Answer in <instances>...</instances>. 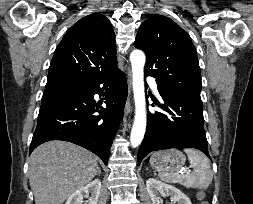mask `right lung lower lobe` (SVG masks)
Wrapping results in <instances>:
<instances>
[{"mask_svg": "<svg viewBox=\"0 0 253 204\" xmlns=\"http://www.w3.org/2000/svg\"><path fill=\"white\" fill-rule=\"evenodd\" d=\"M103 90L105 108L94 100ZM126 99L127 81L119 69L83 84L79 90L42 97L29 153L44 142L64 140L90 150L107 165ZM96 112L99 115H93Z\"/></svg>", "mask_w": 253, "mask_h": 204, "instance_id": "obj_1", "label": "right lung lower lobe"}]
</instances>
